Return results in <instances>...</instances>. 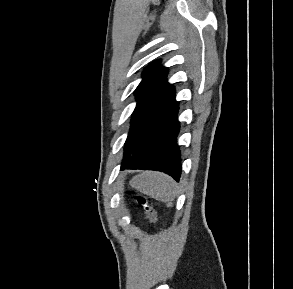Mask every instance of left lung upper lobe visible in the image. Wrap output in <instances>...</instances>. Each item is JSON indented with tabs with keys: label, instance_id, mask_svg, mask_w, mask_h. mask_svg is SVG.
I'll use <instances>...</instances> for the list:
<instances>
[{
	"label": "left lung upper lobe",
	"instance_id": "obj_1",
	"mask_svg": "<svg viewBox=\"0 0 293 289\" xmlns=\"http://www.w3.org/2000/svg\"><path fill=\"white\" fill-rule=\"evenodd\" d=\"M160 62L154 61L144 73L143 80L138 85L135 95L137 106L132 114L131 125L138 121L147 111H150L161 99L169 94L174 87L166 81L167 68L159 67ZM131 157V152L125 146L123 163Z\"/></svg>",
	"mask_w": 293,
	"mask_h": 289
}]
</instances>
